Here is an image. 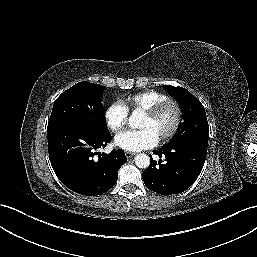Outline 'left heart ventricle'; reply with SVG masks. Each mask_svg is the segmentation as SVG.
<instances>
[{
    "label": "left heart ventricle",
    "instance_id": "b2bd125f",
    "mask_svg": "<svg viewBox=\"0 0 257 257\" xmlns=\"http://www.w3.org/2000/svg\"><path fill=\"white\" fill-rule=\"evenodd\" d=\"M174 117V110L173 108L169 107L156 119H151L143 115L139 127L141 129L151 130L158 138H160L163 134L170 130L174 122Z\"/></svg>",
    "mask_w": 257,
    "mask_h": 257
}]
</instances>
